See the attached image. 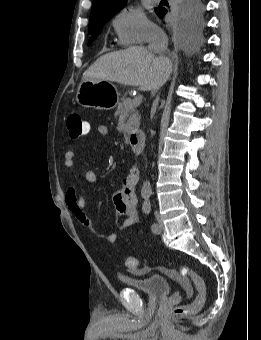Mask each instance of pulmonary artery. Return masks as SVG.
Returning a JSON list of instances; mask_svg holds the SVG:
<instances>
[{
  "instance_id": "e3ab8cb5",
  "label": "pulmonary artery",
  "mask_w": 261,
  "mask_h": 340,
  "mask_svg": "<svg viewBox=\"0 0 261 340\" xmlns=\"http://www.w3.org/2000/svg\"><path fill=\"white\" fill-rule=\"evenodd\" d=\"M154 3H157V2H159L160 0H152Z\"/></svg>"
}]
</instances>
